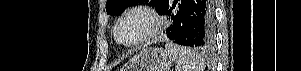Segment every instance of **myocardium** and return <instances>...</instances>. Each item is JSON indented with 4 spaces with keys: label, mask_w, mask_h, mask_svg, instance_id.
I'll use <instances>...</instances> for the list:
<instances>
[{
    "label": "myocardium",
    "mask_w": 301,
    "mask_h": 71,
    "mask_svg": "<svg viewBox=\"0 0 301 71\" xmlns=\"http://www.w3.org/2000/svg\"><path fill=\"white\" fill-rule=\"evenodd\" d=\"M135 14H140V15L146 17L147 20L149 21V26H148L146 32L139 39H137L136 41H134L132 43H124L119 39V36H118L119 26L125 18H127L131 15H135ZM162 27H163V21L156 11H154L153 9H151L147 6H134L130 9L125 10L118 17V19L114 25V28H113V37L118 45H120L124 48H135V47H138V46L146 43L147 41L151 40L154 36H156L162 30Z\"/></svg>",
    "instance_id": "1"
}]
</instances>
